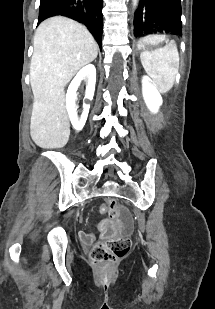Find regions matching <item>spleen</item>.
Listing matches in <instances>:
<instances>
[{"label": "spleen", "instance_id": "obj_1", "mask_svg": "<svg viewBox=\"0 0 215 309\" xmlns=\"http://www.w3.org/2000/svg\"><path fill=\"white\" fill-rule=\"evenodd\" d=\"M141 62L160 92H167L175 82V74L179 68V52L177 44L170 40L163 48L143 50Z\"/></svg>", "mask_w": 215, "mask_h": 309}]
</instances>
